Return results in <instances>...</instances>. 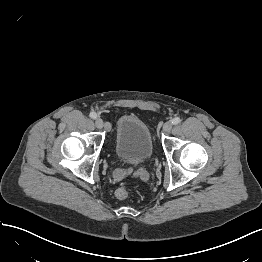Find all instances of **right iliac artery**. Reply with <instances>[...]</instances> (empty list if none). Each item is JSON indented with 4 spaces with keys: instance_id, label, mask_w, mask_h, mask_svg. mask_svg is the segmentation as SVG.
Wrapping results in <instances>:
<instances>
[{
    "instance_id": "1",
    "label": "right iliac artery",
    "mask_w": 262,
    "mask_h": 262,
    "mask_svg": "<svg viewBox=\"0 0 262 262\" xmlns=\"http://www.w3.org/2000/svg\"><path fill=\"white\" fill-rule=\"evenodd\" d=\"M90 117H91L92 119H96V118H97V114H96L95 112H91V113H90Z\"/></svg>"
}]
</instances>
